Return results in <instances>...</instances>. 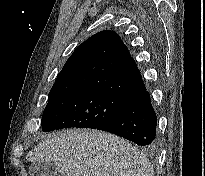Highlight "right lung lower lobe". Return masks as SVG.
<instances>
[{
	"mask_svg": "<svg viewBox=\"0 0 205 176\" xmlns=\"http://www.w3.org/2000/svg\"><path fill=\"white\" fill-rule=\"evenodd\" d=\"M157 118L148 91L130 97L98 130L107 131L149 149L156 147Z\"/></svg>",
	"mask_w": 205,
	"mask_h": 176,
	"instance_id": "98d812e1",
	"label": "right lung lower lobe"
}]
</instances>
